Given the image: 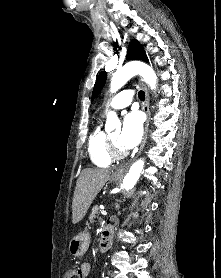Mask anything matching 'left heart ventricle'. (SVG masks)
I'll return each instance as SVG.
<instances>
[{
    "mask_svg": "<svg viewBox=\"0 0 221 278\" xmlns=\"http://www.w3.org/2000/svg\"><path fill=\"white\" fill-rule=\"evenodd\" d=\"M109 136L111 137V139L113 140V142L115 143L116 147L119 149H123L119 143H118V136H119V132H113L111 134H109Z\"/></svg>",
    "mask_w": 221,
    "mask_h": 278,
    "instance_id": "obj_1",
    "label": "left heart ventricle"
}]
</instances>
